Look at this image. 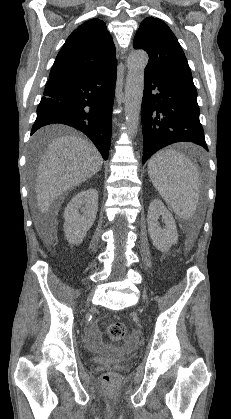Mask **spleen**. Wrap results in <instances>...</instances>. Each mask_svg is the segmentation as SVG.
<instances>
[{"label": "spleen", "mask_w": 231, "mask_h": 419, "mask_svg": "<svg viewBox=\"0 0 231 419\" xmlns=\"http://www.w3.org/2000/svg\"><path fill=\"white\" fill-rule=\"evenodd\" d=\"M148 175L171 210L184 220L191 219L200 193V176L195 164L184 154L165 149L149 160Z\"/></svg>", "instance_id": "1"}]
</instances>
